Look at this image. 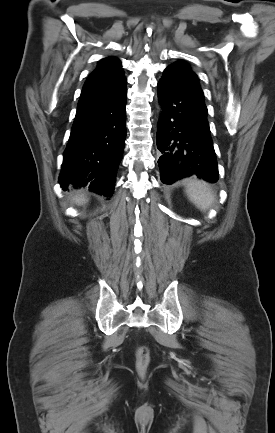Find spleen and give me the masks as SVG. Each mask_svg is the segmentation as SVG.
<instances>
[{
    "mask_svg": "<svg viewBox=\"0 0 275 433\" xmlns=\"http://www.w3.org/2000/svg\"><path fill=\"white\" fill-rule=\"evenodd\" d=\"M186 194L190 201L200 210L209 208L214 200L212 191L204 182H191L186 188Z\"/></svg>",
    "mask_w": 275,
    "mask_h": 433,
    "instance_id": "3e777b00",
    "label": "spleen"
}]
</instances>
